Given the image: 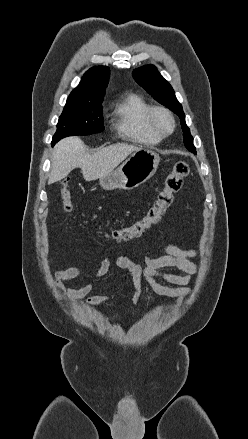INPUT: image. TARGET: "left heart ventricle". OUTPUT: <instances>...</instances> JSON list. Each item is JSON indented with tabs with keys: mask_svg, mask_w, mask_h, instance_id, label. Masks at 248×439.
I'll return each instance as SVG.
<instances>
[{
	"mask_svg": "<svg viewBox=\"0 0 248 439\" xmlns=\"http://www.w3.org/2000/svg\"><path fill=\"white\" fill-rule=\"evenodd\" d=\"M158 123L161 129L163 130L169 129V122L166 117L164 116L159 117Z\"/></svg>",
	"mask_w": 248,
	"mask_h": 439,
	"instance_id": "b2bd125f",
	"label": "left heart ventricle"
}]
</instances>
